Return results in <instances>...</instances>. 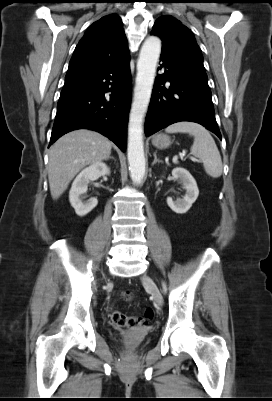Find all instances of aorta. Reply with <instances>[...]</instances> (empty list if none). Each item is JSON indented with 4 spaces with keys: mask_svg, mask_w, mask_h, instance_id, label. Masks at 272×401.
Masks as SVG:
<instances>
[{
    "mask_svg": "<svg viewBox=\"0 0 272 401\" xmlns=\"http://www.w3.org/2000/svg\"><path fill=\"white\" fill-rule=\"evenodd\" d=\"M161 53V40L149 36L143 43L137 61L134 98L129 114L127 156L130 176L140 184L145 176L143 120L150 102L156 65Z\"/></svg>",
    "mask_w": 272,
    "mask_h": 401,
    "instance_id": "1",
    "label": "aorta"
}]
</instances>
